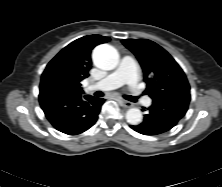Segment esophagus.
<instances>
[{
    "instance_id": "esophagus-1",
    "label": "esophagus",
    "mask_w": 222,
    "mask_h": 187,
    "mask_svg": "<svg viewBox=\"0 0 222 187\" xmlns=\"http://www.w3.org/2000/svg\"><path fill=\"white\" fill-rule=\"evenodd\" d=\"M120 102L122 103V105L126 108H131L133 107V103L124 99H121Z\"/></svg>"
}]
</instances>
